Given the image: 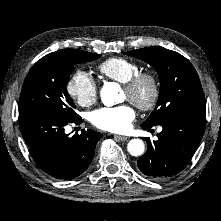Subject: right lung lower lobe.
Listing matches in <instances>:
<instances>
[{
    "label": "right lung lower lobe",
    "mask_w": 221,
    "mask_h": 221,
    "mask_svg": "<svg viewBox=\"0 0 221 221\" xmlns=\"http://www.w3.org/2000/svg\"><path fill=\"white\" fill-rule=\"evenodd\" d=\"M81 118L67 120L52 112L27 109L19 112V127L36 164L57 179H73L90 165L102 134L82 130L70 137L64 127L80 124Z\"/></svg>",
    "instance_id": "right-lung-lower-lobe-1"
}]
</instances>
